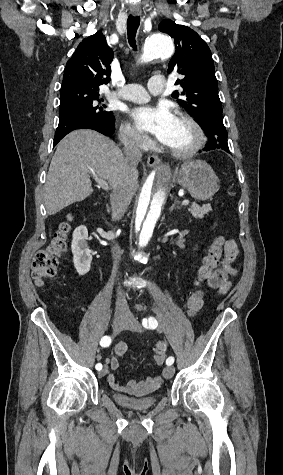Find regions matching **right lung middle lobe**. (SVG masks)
<instances>
[{"instance_id":"dd1d6c3e","label":"right lung middle lobe","mask_w":283,"mask_h":475,"mask_svg":"<svg viewBox=\"0 0 283 475\" xmlns=\"http://www.w3.org/2000/svg\"><path fill=\"white\" fill-rule=\"evenodd\" d=\"M98 97L99 93H61L59 117L71 113H84L95 120L113 121V112L105 110L106 106L104 105L100 107L97 101L101 102L103 99Z\"/></svg>"}]
</instances>
